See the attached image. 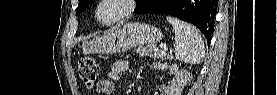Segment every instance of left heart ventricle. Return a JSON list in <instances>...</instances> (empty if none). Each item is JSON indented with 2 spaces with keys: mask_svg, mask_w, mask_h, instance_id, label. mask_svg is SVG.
Listing matches in <instances>:
<instances>
[{
  "mask_svg": "<svg viewBox=\"0 0 277 95\" xmlns=\"http://www.w3.org/2000/svg\"><path fill=\"white\" fill-rule=\"evenodd\" d=\"M118 5L114 4V3H108L102 6L101 8V14L104 17H111L112 15H114L115 13H117L118 11Z\"/></svg>",
  "mask_w": 277,
  "mask_h": 95,
  "instance_id": "b2bd125f",
  "label": "left heart ventricle"
}]
</instances>
